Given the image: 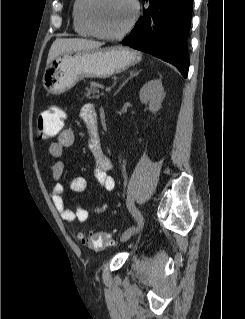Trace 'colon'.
I'll use <instances>...</instances> for the list:
<instances>
[{
  "label": "colon",
  "mask_w": 245,
  "mask_h": 319,
  "mask_svg": "<svg viewBox=\"0 0 245 319\" xmlns=\"http://www.w3.org/2000/svg\"><path fill=\"white\" fill-rule=\"evenodd\" d=\"M64 122L65 114L61 109L46 110L38 116V131L44 139L54 138L62 132ZM79 238L85 246L91 249H103L112 244L111 235L103 232L80 234Z\"/></svg>",
  "instance_id": "1"
}]
</instances>
